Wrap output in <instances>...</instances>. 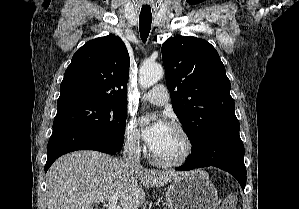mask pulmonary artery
Wrapping results in <instances>:
<instances>
[{
	"label": "pulmonary artery",
	"mask_w": 299,
	"mask_h": 209,
	"mask_svg": "<svg viewBox=\"0 0 299 209\" xmlns=\"http://www.w3.org/2000/svg\"><path fill=\"white\" fill-rule=\"evenodd\" d=\"M141 99L155 105H164L169 100V93L164 85L159 84L145 92Z\"/></svg>",
	"instance_id": "pulmonary-artery-1"
}]
</instances>
